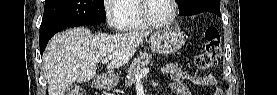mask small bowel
<instances>
[{
    "label": "small bowel",
    "mask_w": 277,
    "mask_h": 95,
    "mask_svg": "<svg viewBox=\"0 0 277 95\" xmlns=\"http://www.w3.org/2000/svg\"><path fill=\"white\" fill-rule=\"evenodd\" d=\"M162 72L168 74L171 78L169 89L173 94L191 95L190 89L184 81H190L197 85L214 86L217 79L212 75L191 73L185 67L178 63H168L162 67ZM212 94H222V91L216 90Z\"/></svg>",
    "instance_id": "small-bowel-1"
}]
</instances>
